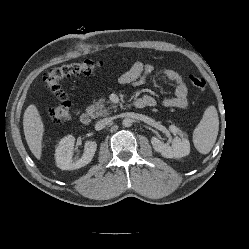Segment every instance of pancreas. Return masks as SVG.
Masks as SVG:
<instances>
[{"label":"pancreas","instance_id":"cf45deb5","mask_svg":"<svg viewBox=\"0 0 249 249\" xmlns=\"http://www.w3.org/2000/svg\"><path fill=\"white\" fill-rule=\"evenodd\" d=\"M106 104H109V106L105 107ZM90 109L93 111L92 117L96 118L98 116L109 115L112 112V109L116 110V106L112 102L100 99L98 102L92 105Z\"/></svg>","mask_w":249,"mask_h":249}]
</instances>
